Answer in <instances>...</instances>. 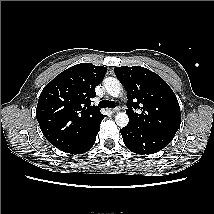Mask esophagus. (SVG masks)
I'll list each match as a JSON object with an SVG mask.
<instances>
[{
  "mask_svg": "<svg viewBox=\"0 0 214 214\" xmlns=\"http://www.w3.org/2000/svg\"><path fill=\"white\" fill-rule=\"evenodd\" d=\"M120 111L119 107H116L115 109H112V113H118Z\"/></svg>",
  "mask_w": 214,
  "mask_h": 214,
  "instance_id": "obj_1",
  "label": "esophagus"
}]
</instances>
